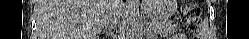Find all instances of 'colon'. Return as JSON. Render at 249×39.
Returning a JSON list of instances; mask_svg holds the SVG:
<instances>
[{"label": "colon", "mask_w": 249, "mask_h": 39, "mask_svg": "<svg viewBox=\"0 0 249 39\" xmlns=\"http://www.w3.org/2000/svg\"><path fill=\"white\" fill-rule=\"evenodd\" d=\"M184 17L187 22L188 28L191 32L196 33L198 31V14L199 10L193 2L184 9Z\"/></svg>", "instance_id": "colon-1"}]
</instances>
